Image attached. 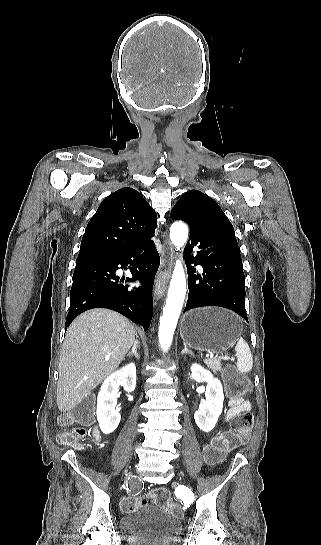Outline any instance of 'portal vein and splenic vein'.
Here are the masks:
<instances>
[{"label": "portal vein and splenic vein", "instance_id": "1", "mask_svg": "<svg viewBox=\"0 0 321 545\" xmlns=\"http://www.w3.org/2000/svg\"><path fill=\"white\" fill-rule=\"evenodd\" d=\"M206 357H210V359H212L213 355H209V353H206ZM105 361H109V359H105Z\"/></svg>", "mask_w": 321, "mask_h": 545}]
</instances>
